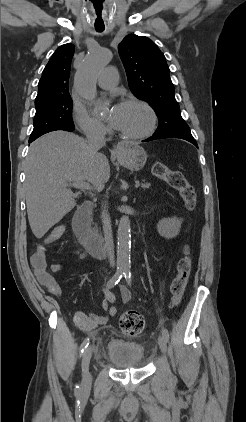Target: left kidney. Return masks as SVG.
<instances>
[{
  "mask_svg": "<svg viewBox=\"0 0 246 422\" xmlns=\"http://www.w3.org/2000/svg\"><path fill=\"white\" fill-rule=\"evenodd\" d=\"M181 224L182 219L177 217L163 218L157 224V231L166 239L175 238L180 232Z\"/></svg>",
  "mask_w": 246,
  "mask_h": 422,
  "instance_id": "1",
  "label": "left kidney"
}]
</instances>
